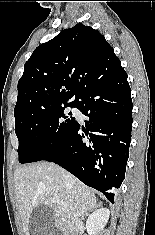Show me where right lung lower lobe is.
Masks as SVG:
<instances>
[{"label":"right lung lower lobe","instance_id":"98d812e1","mask_svg":"<svg viewBox=\"0 0 155 235\" xmlns=\"http://www.w3.org/2000/svg\"><path fill=\"white\" fill-rule=\"evenodd\" d=\"M75 107L90 118L86 128L77 122L66 142L43 160L62 166L113 203L125 177L131 141L133 105L126 72L91 86Z\"/></svg>","mask_w":155,"mask_h":235}]
</instances>
